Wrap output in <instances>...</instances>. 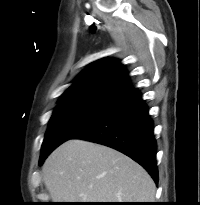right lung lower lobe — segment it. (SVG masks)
<instances>
[{"label": "right lung lower lobe", "mask_w": 200, "mask_h": 205, "mask_svg": "<svg viewBox=\"0 0 200 205\" xmlns=\"http://www.w3.org/2000/svg\"><path fill=\"white\" fill-rule=\"evenodd\" d=\"M70 139H84L114 148L138 162L158 183L153 123L137 89L125 93Z\"/></svg>", "instance_id": "1"}]
</instances>
